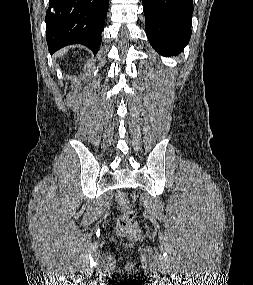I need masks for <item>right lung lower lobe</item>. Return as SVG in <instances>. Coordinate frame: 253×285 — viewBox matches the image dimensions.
I'll list each match as a JSON object with an SVG mask.
<instances>
[{
  "instance_id": "right-lung-lower-lobe-1",
  "label": "right lung lower lobe",
  "mask_w": 253,
  "mask_h": 285,
  "mask_svg": "<svg viewBox=\"0 0 253 285\" xmlns=\"http://www.w3.org/2000/svg\"><path fill=\"white\" fill-rule=\"evenodd\" d=\"M109 0H49L46 40L51 54L70 44L99 50Z\"/></svg>"
}]
</instances>
